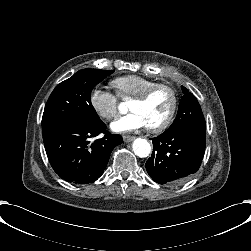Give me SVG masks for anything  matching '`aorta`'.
<instances>
[{
  "instance_id": "aorta-1",
  "label": "aorta",
  "mask_w": 251,
  "mask_h": 251,
  "mask_svg": "<svg viewBox=\"0 0 251 251\" xmlns=\"http://www.w3.org/2000/svg\"><path fill=\"white\" fill-rule=\"evenodd\" d=\"M132 149L135 155H137L140 158L147 157L151 152L150 144L148 143L146 139H142V138H137L134 140L132 144Z\"/></svg>"
}]
</instances>
